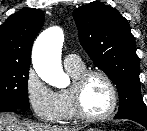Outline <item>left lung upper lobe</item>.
<instances>
[{
  "label": "left lung upper lobe",
  "instance_id": "1",
  "mask_svg": "<svg viewBox=\"0 0 147 131\" xmlns=\"http://www.w3.org/2000/svg\"><path fill=\"white\" fill-rule=\"evenodd\" d=\"M79 40L93 63L117 85V118L147 121L140 91L139 58L128 21L114 8L92 2L73 11Z\"/></svg>",
  "mask_w": 147,
  "mask_h": 131
}]
</instances>
